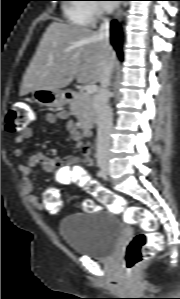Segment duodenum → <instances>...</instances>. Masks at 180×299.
Returning a JSON list of instances; mask_svg holds the SVG:
<instances>
[{
	"label": "duodenum",
	"mask_w": 180,
	"mask_h": 299,
	"mask_svg": "<svg viewBox=\"0 0 180 299\" xmlns=\"http://www.w3.org/2000/svg\"><path fill=\"white\" fill-rule=\"evenodd\" d=\"M74 96V93L72 91L68 92L67 93V97L69 99H72ZM83 133L86 135V136H90L92 135L93 133V128L90 124H83Z\"/></svg>",
	"instance_id": "410a0bca"
}]
</instances>
